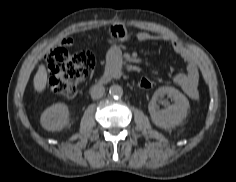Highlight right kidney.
Listing matches in <instances>:
<instances>
[{"instance_id": "ca27d5eb", "label": "right kidney", "mask_w": 236, "mask_h": 182, "mask_svg": "<svg viewBox=\"0 0 236 182\" xmlns=\"http://www.w3.org/2000/svg\"><path fill=\"white\" fill-rule=\"evenodd\" d=\"M69 111L64 103L48 107L41 115L40 123L48 131L62 130L68 124Z\"/></svg>"}]
</instances>
